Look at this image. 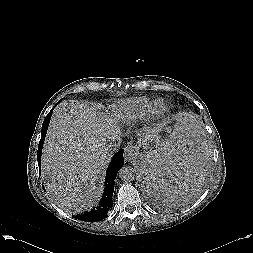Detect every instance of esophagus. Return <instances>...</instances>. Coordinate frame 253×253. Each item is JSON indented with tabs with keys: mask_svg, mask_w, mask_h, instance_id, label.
<instances>
[{
	"mask_svg": "<svg viewBox=\"0 0 253 253\" xmlns=\"http://www.w3.org/2000/svg\"><path fill=\"white\" fill-rule=\"evenodd\" d=\"M136 158V150L133 146L125 148L124 159L127 162H132Z\"/></svg>",
	"mask_w": 253,
	"mask_h": 253,
	"instance_id": "1",
	"label": "esophagus"
}]
</instances>
